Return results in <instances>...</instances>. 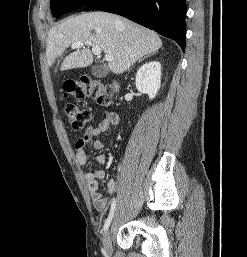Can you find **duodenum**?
I'll return each mask as SVG.
<instances>
[{
	"mask_svg": "<svg viewBox=\"0 0 247 257\" xmlns=\"http://www.w3.org/2000/svg\"><path fill=\"white\" fill-rule=\"evenodd\" d=\"M112 88L114 91H117L118 90V84L116 82H113L112 83Z\"/></svg>",
	"mask_w": 247,
	"mask_h": 257,
	"instance_id": "duodenum-1",
	"label": "duodenum"
}]
</instances>
